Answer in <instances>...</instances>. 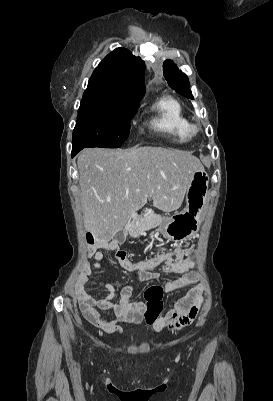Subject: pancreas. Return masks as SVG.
Segmentation results:
<instances>
[{
    "label": "pancreas",
    "instance_id": "pancreas-1",
    "mask_svg": "<svg viewBox=\"0 0 273 401\" xmlns=\"http://www.w3.org/2000/svg\"><path fill=\"white\" fill-rule=\"evenodd\" d=\"M162 217L160 215H155V213H145L142 217L137 219L136 223H127L126 231H129L131 237H140L144 231H149V229H155L162 225Z\"/></svg>",
    "mask_w": 273,
    "mask_h": 401
}]
</instances>
